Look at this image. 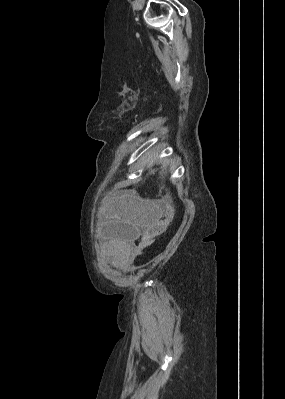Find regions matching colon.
Wrapping results in <instances>:
<instances>
[{"label":"colon","instance_id":"1","mask_svg":"<svg viewBox=\"0 0 285 399\" xmlns=\"http://www.w3.org/2000/svg\"><path fill=\"white\" fill-rule=\"evenodd\" d=\"M161 214L162 215L156 222L150 236L143 239L141 242L137 244L139 248L142 249L147 248L152 243V241L167 228L171 220L172 209L170 207H165L161 209Z\"/></svg>","mask_w":285,"mask_h":399}]
</instances>
